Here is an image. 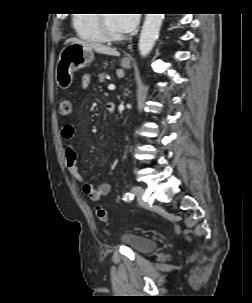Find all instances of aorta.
Returning a JSON list of instances; mask_svg holds the SVG:
<instances>
[{
  "label": "aorta",
  "mask_w": 252,
  "mask_h": 303,
  "mask_svg": "<svg viewBox=\"0 0 252 303\" xmlns=\"http://www.w3.org/2000/svg\"><path fill=\"white\" fill-rule=\"evenodd\" d=\"M163 18L164 14H146L138 43L142 57H145L154 47Z\"/></svg>",
  "instance_id": "obj_1"
}]
</instances>
